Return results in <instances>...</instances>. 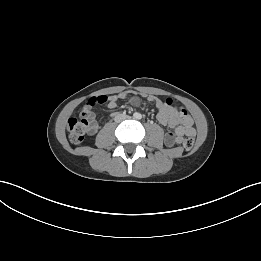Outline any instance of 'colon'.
Instances as JSON below:
<instances>
[{
	"mask_svg": "<svg viewBox=\"0 0 261 261\" xmlns=\"http://www.w3.org/2000/svg\"><path fill=\"white\" fill-rule=\"evenodd\" d=\"M123 95H119L122 97ZM107 101V96H98L91 98L85 105L86 109H90L91 107L97 104H104ZM181 115H187L186 111L182 110ZM90 117L86 112H82L80 117H73L68 121V132H69V139L74 144L81 143L86 134L90 130ZM183 148L186 151H190L194 145V137L193 135H187L183 140Z\"/></svg>",
	"mask_w": 261,
	"mask_h": 261,
	"instance_id": "5ec220e1",
	"label": "colon"
}]
</instances>
